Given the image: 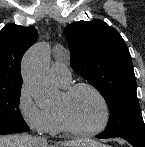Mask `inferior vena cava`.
<instances>
[{
  "mask_svg": "<svg viewBox=\"0 0 145 147\" xmlns=\"http://www.w3.org/2000/svg\"><path fill=\"white\" fill-rule=\"evenodd\" d=\"M36 140H37V142H39L40 144H46V143H47L46 139L43 138V137H37Z\"/></svg>",
  "mask_w": 145,
  "mask_h": 147,
  "instance_id": "602c4592",
  "label": "inferior vena cava"
}]
</instances>
